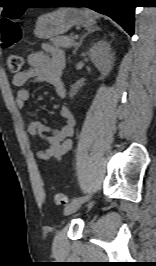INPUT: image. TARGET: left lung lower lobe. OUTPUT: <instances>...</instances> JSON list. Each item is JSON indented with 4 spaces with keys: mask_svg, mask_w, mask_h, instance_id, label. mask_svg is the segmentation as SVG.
Returning a JSON list of instances; mask_svg holds the SVG:
<instances>
[{
    "mask_svg": "<svg viewBox=\"0 0 156 266\" xmlns=\"http://www.w3.org/2000/svg\"><path fill=\"white\" fill-rule=\"evenodd\" d=\"M57 3H65L59 1ZM78 7H88L107 15L120 24L130 35L134 32V0H69Z\"/></svg>",
    "mask_w": 156,
    "mask_h": 266,
    "instance_id": "obj_1",
    "label": "left lung lower lobe"
}]
</instances>
